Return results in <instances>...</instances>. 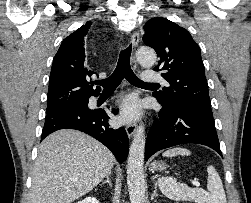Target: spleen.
<instances>
[{"instance_id":"spleen-1","label":"spleen","mask_w":251,"mask_h":203,"mask_svg":"<svg viewBox=\"0 0 251 203\" xmlns=\"http://www.w3.org/2000/svg\"><path fill=\"white\" fill-rule=\"evenodd\" d=\"M191 152L182 147L171 148L163 153V156L173 157L177 155L188 156ZM208 192L201 188H190L186 184H178L172 177L158 179L161 192L169 199L175 201H193L196 203H226V195L221 178L213 166L207 167Z\"/></svg>"}]
</instances>
